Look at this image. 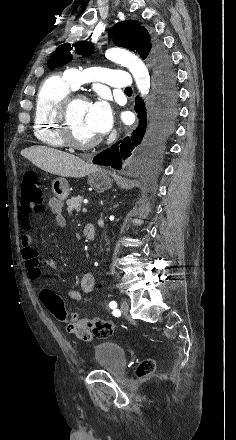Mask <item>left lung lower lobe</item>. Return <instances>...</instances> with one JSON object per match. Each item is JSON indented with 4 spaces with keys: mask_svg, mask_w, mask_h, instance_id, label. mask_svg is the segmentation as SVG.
<instances>
[{
    "mask_svg": "<svg viewBox=\"0 0 236 440\" xmlns=\"http://www.w3.org/2000/svg\"><path fill=\"white\" fill-rule=\"evenodd\" d=\"M153 66L156 94L149 115L147 116L145 104L137 96L135 102V111L139 118L137 128L130 136L96 155L93 163L120 170L123 160L147 146L163 142L173 132L177 116V91L171 63L166 64L156 60Z\"/></svg>",
    "mask_w": 236,
    "mask_h": 440,
    "instance_id": "0a47b994",
    "label": "left lung lower lobe"
}]
</instances>
